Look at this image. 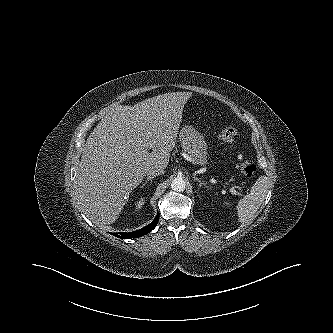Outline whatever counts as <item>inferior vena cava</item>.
I'll return each instance as SVG.
<instances>
[{"mask_svg":"<svg viewBox=\"0 0 333 333\" xmlns=\"http://www.w3.org/2000/svg\"><path fill=\"white\" fill-rule=\"evenodd\" d=\"M164 173V169H162L161 167L158 166H154L148 169L147 171V176H157V175H161Z\"/></svg>","mask_w":333,"mask_h":333,"instance_id":"obj_1","label":"inferior vena cava"}]
</instances>
